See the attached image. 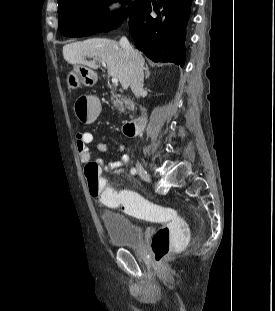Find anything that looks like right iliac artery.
<instances>
[{"mask_svg":"<svg viewBox=\"0 0 275 311\" xmlns=\"http://www.w3.org/2000/svg\"><path fill=\"white\" fill-rule=\"evenodd\" d=\"M130 173L133 174V175H135V174L137 173V171H136L135 168H132V169L130 170Z\"/></svg>","mask_w":275,"mask_h":311,"instance_id":"1","label":"right iliac artery"}]
</instances>
